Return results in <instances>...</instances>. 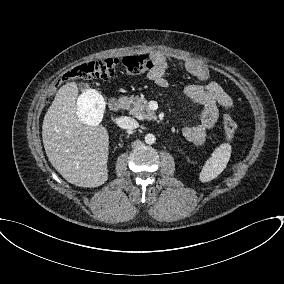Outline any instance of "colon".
Wrapping results in <instances>:
<instances>
[{
	"mask_svg": "<svg viewBox=\"0 0 284 284\" xmlns=\"http://www.w3.org/2000/svg\"><path fill=\"white\" fill-rule=\"evenodd\" d=\"M152 67L153 63L147 55L108 58L78 65L68 71L62 80H108L116 75L118 69H123L130 75H138L151 70ZM223 124L228 140L232 141L235 135L236 123L230 114H224Z\"/></svg>",
	"mask_w": 284,
	"mask_h": 284,
	"instance_id": "colon-1",
	"label": "colon"
}]
</instances>
